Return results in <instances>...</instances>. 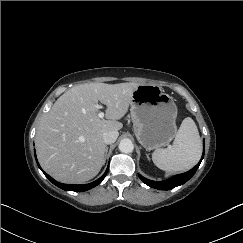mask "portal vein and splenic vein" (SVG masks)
<instances>
[{
	"mask_svg": "<svg viewBox=\"0 0 243 243\" xmlns=\"http://www.w3.org/2000/svg\"><path fill=\"white\" fill-rule=\"evenodd\" d=\"M99 108H102V106H99ZM104 115H105L104 112H99V113H98V117H99V118H103Z\"/></svg>",
	"mask_w": 243,
	"mask_h": 243,
	"instance_id": "obj_1",
	"label": "portal vein and splenic vein"
}]
</instances>
